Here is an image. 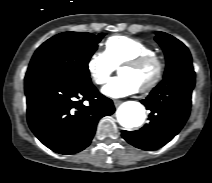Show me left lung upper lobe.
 <instances>
[{"instance_id": "left-lung-upper-lobe-1", "label": "left lung upper lobe", "mask_w": 212, "mask_h": 183, "mask_svg": "<svg viewBox=\"0 0 212 183\" xmlns=\"http://www.w3.org/2000/svg\"><path fill=\"white\" fill-rule=\"evenodd\" d=\"M155 40L162 47L166 57L164 78L171 75L179 67L192 63L188 48L175 37L164 32H156Z\"/></svg>"}]
</instances>
